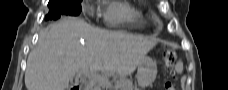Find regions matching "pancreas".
Instances as JSON below:
<instances>
[{"instance_id":"pancreas-1","label":"pancreas","mask_w":228,"mask_h":90,"mask_svg":"<svg viewBox=\"0 0 228 90\" xmlns=\"http://www.w3.org/2000/svg\"><path fill=\"white\" fill-rule=\"evenodd\" d=\"M108 80L104 77L97 78L92 80L90 83V87H92V90H98L100 86H107ZM116 90H137V88H134L132 82L127 79L120 80L115 85Z\"/></svg>"}]
</instances>
